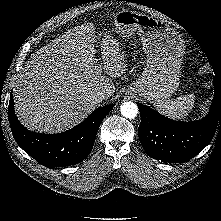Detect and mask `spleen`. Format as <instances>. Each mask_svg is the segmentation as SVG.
Segmentation results:
<instances>
[{
    "instance_id": "obj_1",
    "label": "spleen",
    "mask_w": 221,
    "mask_h": 221,
    "mask_svg": "<svg viewBox=\"0 0 221 221\" xmlns=\"http://www.w3.org/2000/svg\"><path fill=\"white\" fill-rule=\"evenodd\" d=\"M195 102V95H182L176 99L167 100L165 102H157L155 108L163 115L175 119L182 120L189 115Z\"/></svg>"
}]
</instances>
